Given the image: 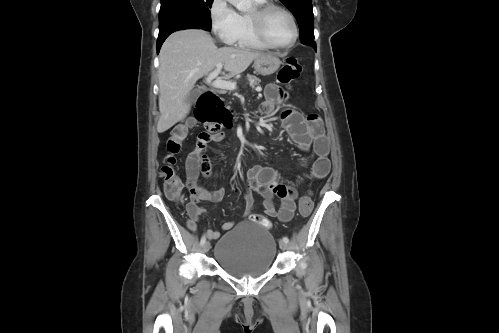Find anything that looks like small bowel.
Returning <instances> with one entry per match:
<instances>
[{"instance_id": "obj_1", "label": "small bowel", "mask_w": 499, "mask_h": 333, "mask_svg": "<svg viewBox=\"0 0 499 333\" xmlns=\"http://www.w3.org/2000/svg\"><path fill=\"white\" fill-rule=\"evenodd\" d=\"M286 97L285 91L277 84L270 83L265 88V101L260 107L264 114H270L275 107ZM282 124L289 133L291 139L302 151L313 150L316 159L312 165V178L323 179L330 171V160L328 158L329 145L324 133L321 119L311 114L304 116L299 111L289 108L282 113ZM224 137L223 132L213 134L203 132L199 135L195 149L186 160V187L190 193L187 209L195 218L203 211L200 202L216 203L222 200L225 194L224 188L209 190L200 184L199 179H209L212 176V165L208 156V146L211 142H220ZM255 191L264 198V213L269 217H276L281 222H288L295 211L297 191L290 185L284 184L276 176L270 167L255 165L247 171V190L245 193L246 208L244 216H250L254 207V199L250 191ZM279 198L280 207L276 209L275 198ZM235 225V222H226L222 230L227 231ZM194 229L195 225L191 224ZM207 236L216 240L220 232L208 230Z\"/></svg>"}]
</instances>
